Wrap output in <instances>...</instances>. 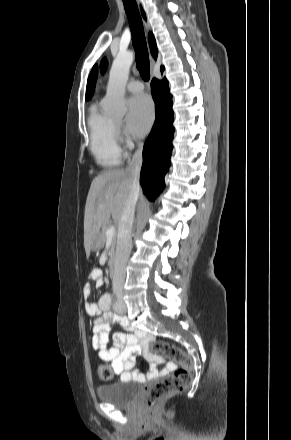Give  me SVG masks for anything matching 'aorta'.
<instances>
[{
  "label": "aorta",
  "mask_w": 291,
  "mask_h": 440,
  "mask_svg": "<svg viewBox=\"0 0 291 440\" xmlns=\"http://www.w3.org/2000/svg\"><path fill=\"white\" fill-rule=\"evenodd\" d=\"M133 60V53L124 51L119 52L113 61L103 101V110L111 117L122 118L126 113L125 85Z\"/></svg>",
  "instance_id": "aorta-1"
}]
</instances>
